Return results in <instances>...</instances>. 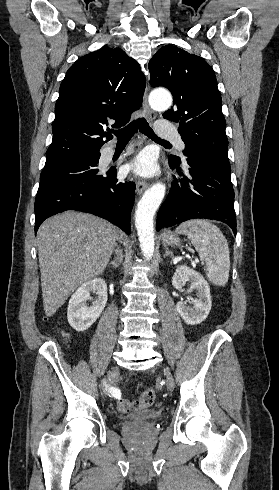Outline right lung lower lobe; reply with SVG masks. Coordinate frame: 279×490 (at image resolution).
I'll return each instance as SVG.
<instances>
[{
    "label": "right lung lower lobe",
    "instance_id": "1",
    "mask_svg": "<svg viewBox=\"0 0 279 490\" xmlns=\"http://www.w3.org/2000/svg\"><path fill=\"white\" fill-rule=\"evenodd\" d=\"M115 168L92 176L39 185L35 201V233L48 217L66 210L92 213L130 234L135 184L116 179Z\"/></svg>",
    "mask_w": 279,
    "mask_h": 490
}]
</instances>
